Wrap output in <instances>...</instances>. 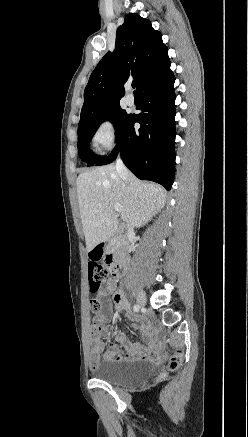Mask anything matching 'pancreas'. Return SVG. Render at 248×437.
Instances as JSON below:
<instances>
[{
  "mask_svg": "<svg viewBox=\"0 0 248 437\" xmlns=\"http://www.w3.org/2000/svg\"><path fill=\"white\" fill-rule=\"evenodd\" d=\"M114 248H116L117 247V245H115V244H111Z\"/></svg>",
  "mask_w": 248,
  "mask_h": 437,
  "instance_id": "1",
  "label": "pancreas"
}]
</instances>
